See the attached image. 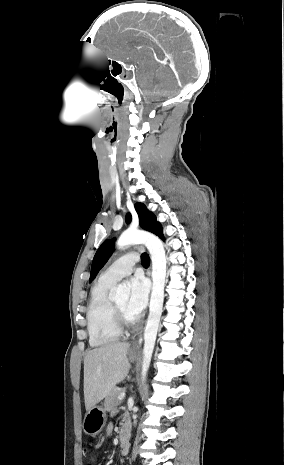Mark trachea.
<instances>
[{"mask_svg":"<svg viewBox=\"0 0 284 465\" xmlns=\"http://www.w3.org/2000/svg\"><path fill=\"white\" fill-rule=\"evenodd\" d=\"M141 263L143 266H148L150 263V257L147 253L141 255Z\"/></svg>","mask_w":284,"mask_h":465,"instance_id":"trachea-1","label":"trachea"}]
</instances>
